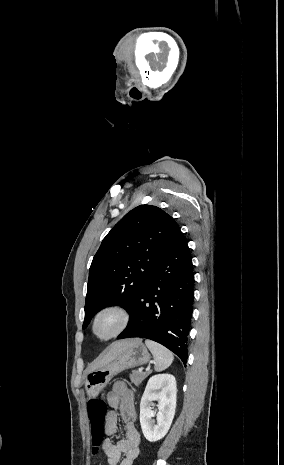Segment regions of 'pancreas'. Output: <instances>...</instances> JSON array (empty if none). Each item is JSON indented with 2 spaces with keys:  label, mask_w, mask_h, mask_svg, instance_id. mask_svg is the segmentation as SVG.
<instances>
[{
  "label": "pancreas",
  "mask_w": 284,
  "mask_h": 465,
  "mask_svg": "<svg viewBox=\"0 0 284 465\" xmlns=\"http://www.w3.org/2000/svg\"><path fill=\"white\" fill-rule=\"evenodd\" d=\"M152 371H148V373H139V371H132V375H130V379L136 387H139L140 383L148 377V375H151Z\"/></svg>",
  "instance_id": "1"
}]
</instances>
